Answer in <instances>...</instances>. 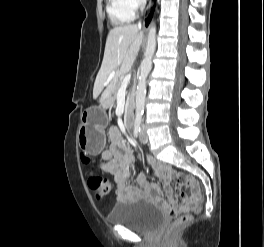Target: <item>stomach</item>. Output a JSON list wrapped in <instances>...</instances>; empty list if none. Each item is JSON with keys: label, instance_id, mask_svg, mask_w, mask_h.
Instances as JSON below:
<instances>
[{"label": "stomach", "instance_id": "1", "mask_svg": "<svg viewBox=\"0 0 264 247\" xmlns=\"http://www.w3.org/2000/svg\"><path fill=\"white\" fill-rule=\"evenodd\" d=\"M106 115L102 109L96 115L91 113L82 122L78 131V143L82 150L97 154L105 144V123Z\"/></svg>", "mask_w": 264, "mask_h": 247}]
</instances>
